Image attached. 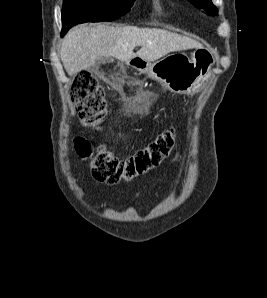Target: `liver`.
Segmentation results:
<instances>
[{"label":"liver","mask_w":267,"mask_h":298,"mask_svg":"<svg viewBox=\"0 0 267 298\" xmlns=\"http://www.w3.org/2000/svg\"><path fill=\"white\" fill-rule=\"evenodd\" d=\"M137 46L141 48L134 53ZM201 47L196 40L164 29L79 25L64 37L60 55L66 72L72 76L102 58L128 62L139 57L152 62L171 52Z\"/></svg>","instance_id":"1"}]
</instances>
